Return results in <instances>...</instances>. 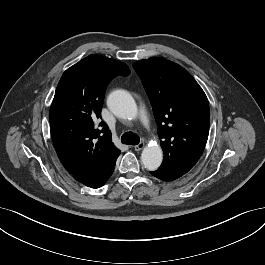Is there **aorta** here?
<instances>
[{
	"mask_svg": "<svg viewBox=\"0 0 265 265\" xmlns=\"http://www.w3.org/2000/svg\"><path fill=\"white\" fill-rule=\"evenodd\" d=\"M109 110L119 118L133 119L137 116V105L133 97L125 90L112 91L107 98ZM141 160L147 170L159 168L163 160V152L159 145L146 146L141 154Z\"/></svg>",
	"mask_w": 265,
	"mask_h": 265,
	"instance_id": "aorta-1",
	"label": "aorta"
}]
</instances>
